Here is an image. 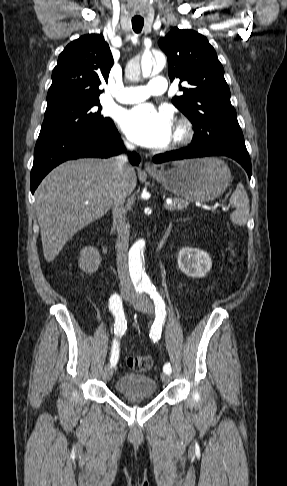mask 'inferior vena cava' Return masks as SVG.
Here are the masks:
<instances>
[{
	"label": "inferior vena cava",
	"instance_id": "602c4592",
	"mask_svg": "<svg viewBox=\"0 0 287 486\" xmlns=\"http://www.w3.org/2000/svg\"><path fill=\"white\" fill-rule=\"evenodd\" d=\"M128 150H133L135 146L130 142L124 143ZM127 156L125 154L114 157L111 160V168L114 174V183L110 192L111 204L113 206L114 225L117 228V271L123 290H134L130 278L127 262V252L129 246L130 224L126 223V209L123 205L125 198L122 196L123 182L128 176Z\"/></svg>",
	"mask_w": 287,
	"mask_h": 486
}]
</instances>
